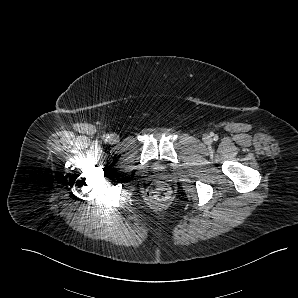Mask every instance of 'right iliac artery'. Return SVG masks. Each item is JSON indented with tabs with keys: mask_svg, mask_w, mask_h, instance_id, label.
<instances>
[{
	"mask_svg": "<svg viewBox=\"0 0 298 298\" xmlns=\"http://www.w3.org/2000/svg\"><path fill=\"white\" fill-rule=\"evenodd\" d=\"M104 138L107 139V138H109V136L108 135H104Z\"/></svg>",
	"mask_w": 298,
	"mask_h": 298,
	"instance_id": "82829eb1",
	"label": "right iliac artery"
}]
</instances>
